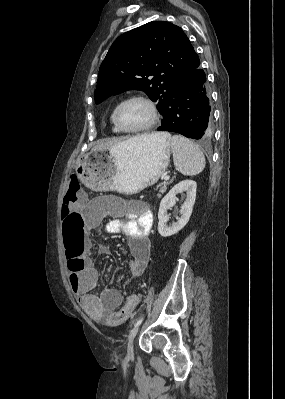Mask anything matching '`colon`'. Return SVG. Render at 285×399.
Masks as SVG:
<instances>
[{
	"label": "colon",
	"mask_w": 285,
	"mask_h": 399,
	"mask_svg": "<svg viewBox=\"0 0 285 399\" xmlns=\"http://www.w3.org/2000/svg\"><path fill=\"white\" fill-rule=\"evenodd\" d=\"M81 184L76 178L69 182L67 194L63 202V221L67 230L64 233L68 269L70 273L77 274L86 266L88 253L84 246L79 243L74 235V229L79 225V215L76 213V207L80 203ZM132 311V305L126 303L123 308L114 316L117 320L126 319Z\"/></svg>",
	"instance_id": "5ec220e1"
}]
</instances>
